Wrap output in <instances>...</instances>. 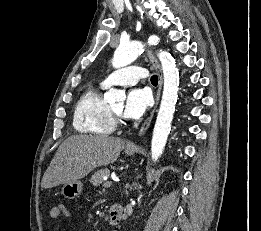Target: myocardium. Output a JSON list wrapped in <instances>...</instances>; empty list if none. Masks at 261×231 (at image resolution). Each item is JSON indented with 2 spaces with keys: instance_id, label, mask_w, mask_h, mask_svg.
<instances>
[{
  "instance_id": "f54148a6",
  "label": "myocardium",
  "mask_w": 261,
  "mask_h": 231,
  "mask_svg": "<svg viewBox=\"0 0 261 231\" xmlns=\"http://www.w3.org/2000/svg\"><path fill=\"white\" fill-rule=\"evenodd\" d=\"M110 109H111V114H112L114 122L117 124L122 123V114L120 112H116L112 108H110Z\"/></svg>"
}]
</instances>
